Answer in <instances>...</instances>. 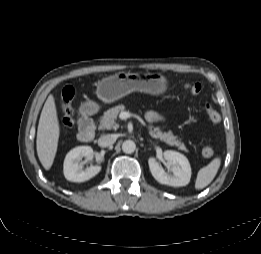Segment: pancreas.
Returning <instances> with one entry per match:
<instances>
[{
	"instance_id": "cf45deb5",
	"label": "pancreas",
	"mask_w": 261,
	"mask_h": 254,
	"mask_svg": "<svg viewBox=\"0 0 261 254\" xmlns=\"http://www.w3.org/2000/svg\"><path fill=\"white\" fill-rule=\"evenodd\" d=\"M124 110L125 106L121 104L104 112L102 119L100 120L99 129H117L119 127L116 123L117 116ZM148 131L152 138L160 139L171 146H175L182 151L188 152L185 144L174 136L172 132H163L159 126L154 127L152 124L148 126Z\"/></svg>"
}]
</instances>
